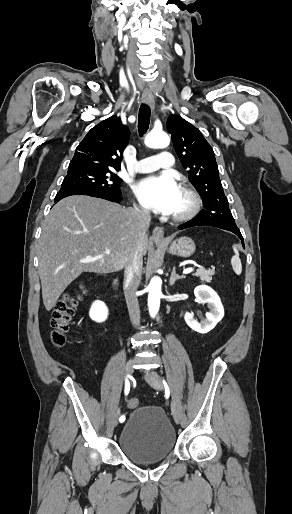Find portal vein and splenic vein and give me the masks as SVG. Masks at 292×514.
<instances>
[{
	"instance_id": "obj_1",
	"label": "portal vein and splenic vein",
	"mask_w": 292,
	"mask_h": 514,
	"mask_svg": "<svg viewBox=\"0 0 292 514\" xmlns=\"http://www.w3.org/2000/svg\"><path fill=\"white\" fill-rule=\"evenodd\" d=\"M103 254H110V250H105ZM193 268H187V270H184L183 274H190L192 272Z\"/></svg>"
}]
</instances>
